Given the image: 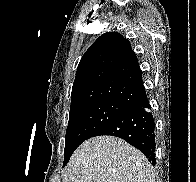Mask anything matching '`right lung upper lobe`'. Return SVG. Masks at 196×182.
Masks as SVG:
<instances>
[{"instance_id": "1", "label": "right lung upper lobe", "mask_w": 196, "mask_h": 182, "mask_svg": "<svg viewBox=\"0 0 196 182\" xmlns=\"http://www.w3.org/2000/svg\"><path fill=\"white\" fill-rule=\"evenodd\" d=\"M144 93L142 73L130 42L117 32H107L80 60L70 110L101 100L133 106Z\"/></svg>"}]
</instances>
